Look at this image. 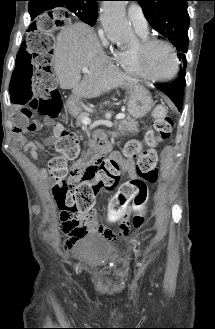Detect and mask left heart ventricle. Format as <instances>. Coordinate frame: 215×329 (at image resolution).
<instances>
[{
    "label": "left heart ventricle",
    "instance_id": "1",
    "mask_svg": "<svg viewBox=\"0 0 215 329\" xmlns=\"http://www.w3.org/2000/svg\"><path fill=\"white\" fill-rule=\"evenodd\" d=\"M175 67V60L170 49L162 44L154 46L147 59V71L157 77L169 76Z\"/></svg>",
    "mask_w": 215,
    "mask_h": 329
}]
</instances>
